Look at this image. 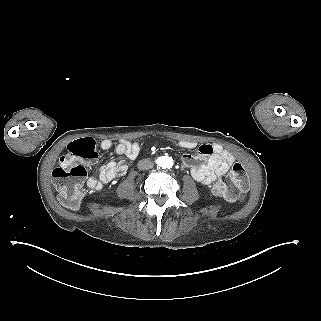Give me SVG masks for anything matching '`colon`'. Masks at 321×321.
Masks as SVG:
<instances>
[{
  "label": "colon",
  "instance_id": "5ec220e1",
  "mask_svg": "<svg viewBox=\"0 0 321 321\" xmlns=\"http://www.w3.org/2000/svg\"><path fill=\"white\" fill-rule=\"evenodd\" d=\"M97 157L96 143L91 138L80 139L67 146L66 152L60 157L58 165L52 172L54 185L59 191V199L65 207L71 210L79 209L87 177L86 169L79 162L94 160ZM248 184L244 166L235 163L230 171L214 184L213 190L230 201H242Z\"/></svg>",
  "mask_w": 321,
  "mask_h": 321
}]
</instances>
